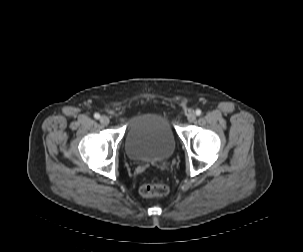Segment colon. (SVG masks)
Instances as JSON below:
<instances>
[{"label":"colon","instance_id":"1","mask_svg":"<svg viewBox=\"0 0 303 252\" xmlns=\"http://www.w3.org/2000/svg\"><path fill=\"white\" fill-rule=\"evenodd\" d=\"M168 192L169 187L165 183L145 184L141 187V193L146 197H162Z\"/></svg>","mask_w":303,"mask_h":252}]
</instances>
